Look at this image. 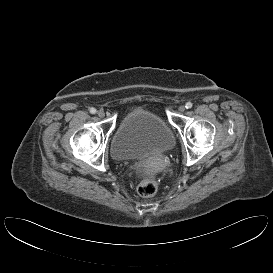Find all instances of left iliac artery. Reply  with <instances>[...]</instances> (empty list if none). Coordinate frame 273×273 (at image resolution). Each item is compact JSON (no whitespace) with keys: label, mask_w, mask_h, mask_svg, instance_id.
<instances>
[{"label":"left iliac artery","mask_w":273,"mask_h":273,"mask_svg":"<svg viewBox=\"0 0 273 273\" xmlns=\"http://www.w3.org/2000/svg\"><path fill=\"white\" fill-rule=\"evenodd\" d=\"M185 107H186L187 109L192 108V103H191V102H187V103L185 104Z\"/></svg>","instance_id":"44dca946"}]
</instances>
